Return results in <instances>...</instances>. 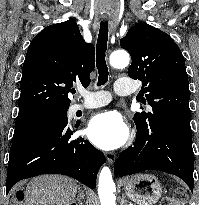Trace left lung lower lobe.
Here are the masks:
<instances>
[{
	"label": "left lung lower lobe",
	"instance_id": "0a47b994",
	"mask_svg": "<svg viewBox=\"0 0 199 205\" xmlns=\"http://www.w3.org/2000/svg\"><path fill=\"white\" fill-rule=\"evenodd\" d=\"M193 169L190 120L165 115L147 128H137L134 145L124 150L114 164L115 176L159 170L180 177L192 192Z\"/></svg>",
	"mask_w": 199,
	"mask_h": 205
}]
</instances>
